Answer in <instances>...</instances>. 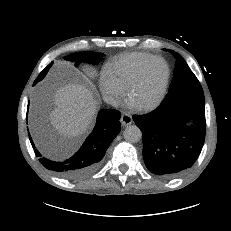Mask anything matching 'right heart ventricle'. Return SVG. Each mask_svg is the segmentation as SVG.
<instances>
[{"instance_id":"1","label":"right heart ventricle","mask_w":231,"mask_h":231,"mask_svg":"<svg viewBox=\"0 0 231 231\" xmlns=\"http://www.w3.org/2000/svg\"><path fill=\"white\" fill-rule=\"evenodd\" d=\"M151 57L152 55L142 52L126 53L109 62L104 72L126 90L140 66Z\"/></svg>"}]
</instances>
